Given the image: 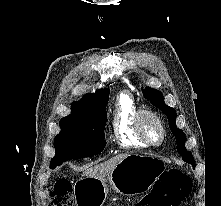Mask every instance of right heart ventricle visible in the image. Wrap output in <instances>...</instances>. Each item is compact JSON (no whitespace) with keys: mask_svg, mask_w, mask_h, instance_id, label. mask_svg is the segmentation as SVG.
Masks as SVG:
<instances>
[{"mask_svg":"<svg viewBox=\"0 0 221 206\" xmlns=\"http://www.w3.org/2000/svg\"><path fill=\"white\" fill-rule=\"evenodd\" d=\"M139 110L130 94L121 93L117 97L112 115V127L114 139L122 148H144L147 146L135 128V116Z\"/></svg>","mask_w":221,"mask_h":206,"instance_id":"obj_1","label":"right heart ventricle"}]
</instances>
